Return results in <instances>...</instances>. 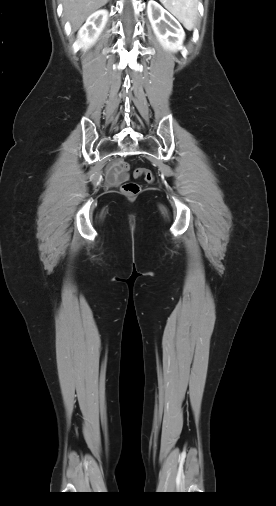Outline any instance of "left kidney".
<instances>
[{
    "mask_svg": "<svg viewBox=\"0 0 276 506\" xmlns=\"http://www.w3.org/2000/svg\"><path fill=\"white\" fill-rule=\"evenodd\" d=\"M147 14L159 43L163 48L176 52L185 38L178 21L154 0L148 2Z\"/></svg>",
    "mask_w": 276,
    "mask_h": 506,
    "instance_id": "5707ae66",
    "label": "left kidney"
}]
</instances>
